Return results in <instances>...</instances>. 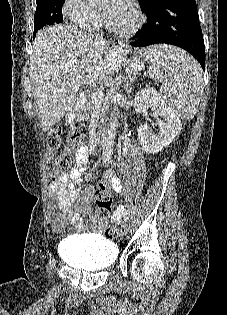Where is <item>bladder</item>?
Returning a JSON list of instances; mask_svg holds the SVG:
<instances>
[{
    "label": "bladder",
    "mask_w": 227,
    "mask_h": 315,
    "mask_svg": "<svg viewBox=\"0 0 227 315\" xmlns=\"http://www.w3.org/2000/svg\"><path fill=\"white\" fill-rule=\"evenodd\" d=\"M60 254L73 267L81 270H101L112 267L118 257L116 244L99 235H79L67 238Z\"/></svg>",
    "instance_id": "31cf9c89"
}]
</instances>
